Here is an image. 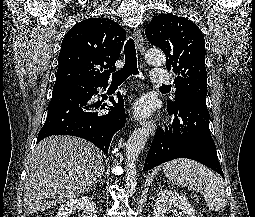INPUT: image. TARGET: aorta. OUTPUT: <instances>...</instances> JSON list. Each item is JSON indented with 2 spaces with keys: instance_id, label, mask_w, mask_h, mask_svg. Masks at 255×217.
I'll return each mask as SVG.
<instances>
[{
  "instance_id": "762f6f07",
  "label": "aorta",
  "mask_w": 255,
  "mask_h": 217,
  "mask_svg": "<svg viewBox=\"0 0 255 217\" xmlns=\"http://www.w3.org/2000/svg\"><path fill=\"white\" fill-rule=\"evenodd\" d=\"M145 58L152 65H163L166 62L164 53L158 49L147 50ZM149 134L150 132L147 126L138 128L131 134L126 143L125 187L130 194L136 191V161L149 138Z\"/></svg>"
}]
</instances>
